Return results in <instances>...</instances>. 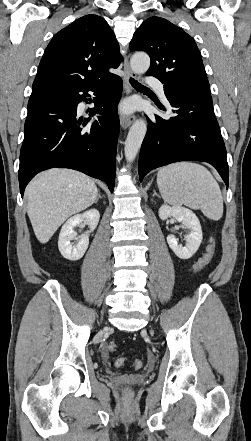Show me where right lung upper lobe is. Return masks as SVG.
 Listing matches in <instances>:
<instances>
[{
  "instance_id": "obj_1",
  "label": "right lung upper lobe",
  "mask_w": 251,
  "mask_h": 441,
  "mask_svg": "<svg viewBox=\"0 0 251 441\" xmlns=\"http://www.w3.org/2000/svg\"><path fill=\"white\" fill-rule=\"evenodd\" d=\"M121 61L119 44L107 22L85 15L54 35L40 61L32 94L100 83Z\"/></svg>"
}]
</instances>
